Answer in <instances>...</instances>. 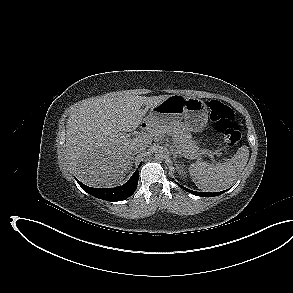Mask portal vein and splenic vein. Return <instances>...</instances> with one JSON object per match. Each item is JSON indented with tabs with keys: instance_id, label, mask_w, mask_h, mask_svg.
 Returning <instances> with one entry per match:
<instances>
[{
	"instance_id": "1",
	"label": "portal vein and splenic vein",
	"mask_w": 293,
	"mask_h": 293,
	"mask_svg": "<svg viewBox=\"0 0 293 293\" xmlns=\"http://www.w3.org/2000/svg\"><path fill=\"white\" fill-rule=\"evenodd\" d=\"M142 135H143L144 137H147L149 134L144 133V134H142ZM156 136H158V134H156ZM203 154H207V155L212 159V161L215 162V157H214V156H215L217 153L212 152V151H209V150H205Z\"/></svg>"
}]
</instances>
